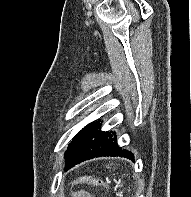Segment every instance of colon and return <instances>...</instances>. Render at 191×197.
<instances>
[{"mask_svg": "<svg viewBox=\"0 0 191 197\" xmlns=\"http://www.w3.org/2000/svg\"><path fill=\"white\" fill-rule=\"evenodd\" d=\"M76 182L79 183H85V184H90V185H97V184H102L103 181L101 179L94 178L93 176H79L75 178Z\"/></svg>", "mask_w": 191, "mask_h": 197, "instance_id": "obj_1", "label": "colon"}]
</instances>
